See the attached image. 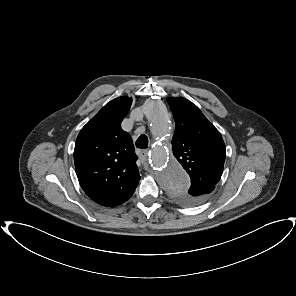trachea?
Masks as SVG:
<instances>
[{"label": "trachea", "mask_w": 296, "mask_h": 296, "mask_svg": "<svg viewBox=\"0 0 296 296\" xmlns=\"http://www.w3.org/2000/svg\"><path fill=\"white\" fill-rule=\"evenodd\" d=\"M136 147L139 149H146L148 147V138L146 135H140L136 140Z\"/></svg>", "instance_id": "3493384b"}]
</instances>
